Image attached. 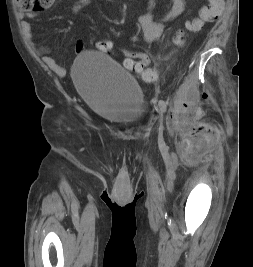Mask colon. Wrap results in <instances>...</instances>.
<instances>
[{
	"label": "colon",
	"instance_id": "1",
	"mask_svg": "<svg viewBox=\"0 0 253 267\" xmlns=\"http://www.w3.org/2000/svg\"><path fill=\"white\" fill-rule=\"evenodd\" d=\"M54 0H17L18 7L23 11L40 12L49 8ZM224 7V0H208L199 12V16L186 23L185 31L181 32L176 44L182 46L186 37L190 33H198L205 24L216 21L221 15ZM96 48L103 53H112L114 45L109 40H99ZM120 51L126 56L123 65L128 70H132L142 74L145 81H152L156 78V73L149 67V56L140 51H132L121 48Z\"/></svg>",
	"mask_w": 253,
	"mask_h": 267
}]
</instances>
